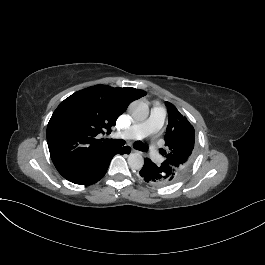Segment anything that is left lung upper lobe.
<instances>
[{
    "instance_id": "1",
    "label": "left lung upper lobe",
    "mask_w": 265,
    "mask_h": 265,
    "mask_svg": "<svg viewBox=\"0 0 265 265\" xmlns=\"http://www.w3.org/2000/svg\"><path fill=\"white\" fill-rule=\"evenodd\" d=\"M168 109V126L165 135L167 151L161 150L165 156V163L175 169L180 179L187 171L192 159L195 142L194 128L177 108L166 102Z\"/></svg>"
}]
</instances>
